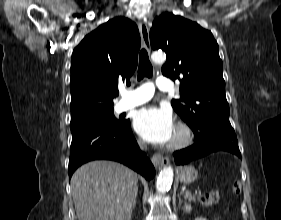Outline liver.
Masks as SVG:
<instances>
[{"label":"liver","mask_w":281,"mask_h":220,"mask_svg":"<svg viewBox=\"0 0 281 220\" xmlns=\"http://www.w3.org/2000/svg\"><path fill=\"white\" fill-rule=\"evenodd\" d=\"M78 220H130L138 193V178L113 161H92L71 178Z\"/></svg>","instance_id":"1"}]
</instances>
